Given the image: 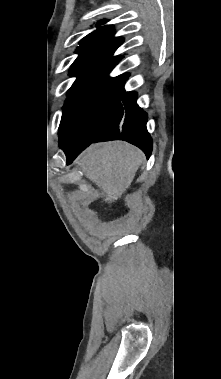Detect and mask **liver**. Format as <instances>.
I'll list each match as a JSON object with an SVG mask.
<instances>
[{"instance_id":"obj_1","label":"liver","mask_w":221,"mask_h":379,"mask_svg":"<svg viewBox=\"0 0 221 379\" xmlns=\"http://www.w3.org/2000/svg\"><path fill=\"white\" fill-rule=\"evenodd\" d=\"M143 160V153L126 142L92 144L79 157L84 175L106 194L112 203L129 188Z\"/></svg>"}]
</instances>
